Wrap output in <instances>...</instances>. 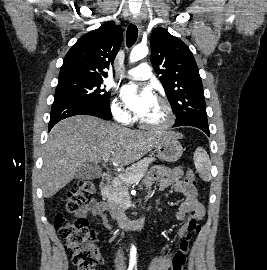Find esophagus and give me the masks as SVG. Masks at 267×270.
Wrapping results in <instances>:
<instances>
[{"label":"esophagus","instance_id":"obj_1","mask_svg":"<svg viewBox=\"0 0 267 270\" xmlns=\"http://www.w3.org/2000/svg\"><path fill=\"white\" fill-rule=\"evenodd\" d=\"M132 22L137 26L139 32L142 31L143 25H142V20L139 16H134L132 18Z\"/></svg>","mask_w":267,"mask_h":270}]
</instances>
